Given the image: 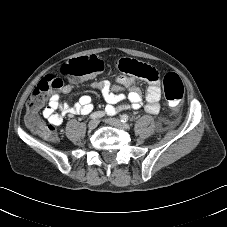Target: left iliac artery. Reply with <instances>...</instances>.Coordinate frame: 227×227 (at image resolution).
<instances>
[{
  "instance_id": "44dca946",
  "label": "left iliac artery",
  "mask_w": 227,
  "mask_h": 227,
  "mask_svg": "<svg viewBox=\"0 0 227 227\" xmlns=\"http://www.w3.org/2000/svg\"><path fill=\"white\" fill-rule=\"evenodd\" d=\"M129 120V116L124 114L121 116V122L126 123Z\"/></svg>"
}]
</instances>
